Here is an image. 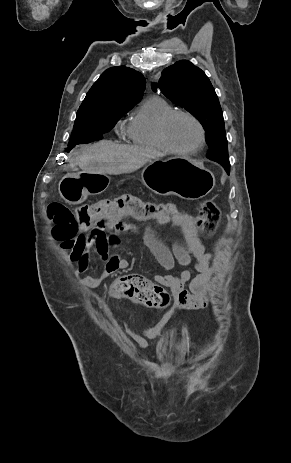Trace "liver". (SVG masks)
I'll return each mask as SVG.
<instances>
[{"mask_svg": "<svg viewBox=\"0 0 291 463\" xmlns=\"http://www.w3.org/2000/svg\"><path fill=\"white\" fill-rule=\"evenodd\" d=\"M163 156L164 153L154 149L119 145L103 140L81 149L69 166L72 169L79 166L87 173L118 175L133 172Z\"/></svg>", "mask_w": 291, "mask_h": 463, "instance_id": "liver-1", "label": "liver"}]
</instances>
